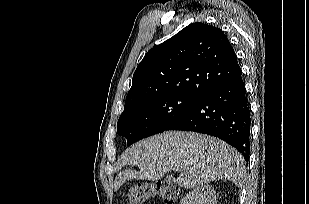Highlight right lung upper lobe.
Listing matches in <instances>:
<instances>
[{"mask_svg":"<svg viewBox=\"0 0 309 204\" xmlns=\"http://www.w3.org/2000/svg\"><path fill=\"white\" fill-rule=\"evenodd\" d=\"M239 71L224 32L193 23L147 52L135 70L125 105L168 94L201 96Z\"/></svg>","mask_w":309,"mask_h":204,"instance_id":"1","label":"right lung upper lobe"}]
</instances>
